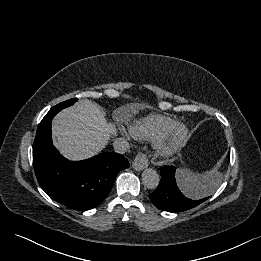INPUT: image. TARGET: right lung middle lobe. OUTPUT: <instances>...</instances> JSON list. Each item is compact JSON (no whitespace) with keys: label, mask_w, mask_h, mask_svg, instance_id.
Masks as SVG:
<instances>
[{"label":"right lung middle lobe","mask_w":261,"mask_h":261,"mask_svg":"<svg viewBox=\"0 0 261 261\" xmlns=\"http://www.w3.org/2000/svg\"><path fill=\"white\" fill-rule=\"evenodd\" d=\"M77 100H78L77 98H73V99L64 101V102H62V103H60V104H57V105L54 106L53 108H51V110L61 111V109L73 105Z\"/></svg>","instance_id":"1"}]
</instances>
